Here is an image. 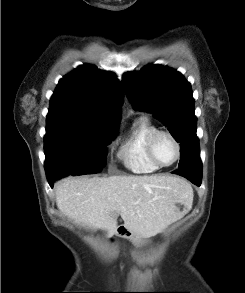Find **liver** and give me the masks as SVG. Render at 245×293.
I'll return each instance as SVG.
<instances>
[{"label": "liver", "mask_w": 245, "mask_h": 293, "mask_svg": "<svg viewBox=\"0 0 245 293\" xmlns=\"http://www.w3.org/2000/svg\"><path fill=\"white\" fill-rule=\"evenodd\" d=\"M55 198L60 212L78 224L111 237L120 215L127 231L150 238L184 216L176 204L191 208L193 193L179 177L131 175L66 178L57 184Z\"/></svg>", "instance_id": "1"}]
</instances>
